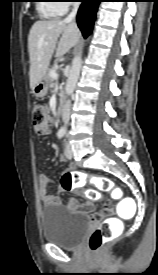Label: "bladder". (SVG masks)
Returning a JSON list of instances; mask_svg holds the SVG:
<instances>
[{
  "instance_id": "bladder-1",
  "label": "bladder",
  "mask_w": 158,
  "mask_h": 275,
  "mask_svg": "<svg viewBox=\"0 0 158 275\" xmlns=\"http://www.w3.org/2000/svg\"><path fill=\"white\" fill-rule=\"evenodd\" d=\"M41 220L44 240L63 249L77 248L90 226L85 214L69 212L59 205L43 207Z\"/></svg>"
}]
</instances>
